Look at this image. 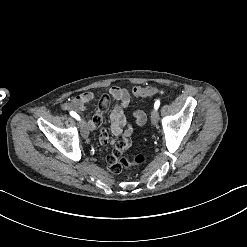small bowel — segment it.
Segmentation results:
<instances>
[{
	"label": "small bowel",
	"instance_id": "c3829d8e",
	"mask_svg": "<svg viewBox=\"0 0 247 247\" xmlns=\"http://www.w3.org/2000/svg\"><path fill=\"white\" fill-rule=\"evenodd\" d=\"M96 95L92 92H83L79 95L67 99L63 104L64 110H84L86 106L95 99ZM110 97L116 102L113 109L109 114V121L111 125V132L115 139H119V144L115 146L114 151L116 154L121 155L125 150L132 146V126L128 123L124 109L130 103L129 92L120 86H112L108 94L100 96L99 111L91 117L88 121V128L93 130L98 124L97 119L102 118V114L107 110L110 102ZM133 118L138 125H143L146 121V115L142 111H135ZM98 143L100 146L105 147L109 143V130L107 127L102 126L98 130ZM105 162L109 165L107 172L111 176L118 174L119 169L115 166L116 159L114 156L109 155L106 157Z\"/></svg>",
	"mask_w": 247,
	"mask_h": 247
}]
</instances>
